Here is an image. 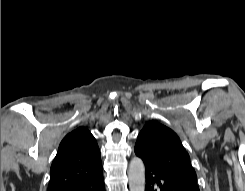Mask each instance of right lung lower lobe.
Here are the masks:
<instances>
[{"label":"right lung lower lobe","mask_w":245,"mask_h":191,"mask_svg":"<svg viewBox=\"0 0 245 191\" xmlns=\"http://www.w3.org/2000/svg\"><path fill=\"white\" fill-rule=\"evenodd\" d=\"M64 191H105L103 174L99 172L84 181L67 187Z\"/></svg>","instance_id":"1"}]
</instances>
